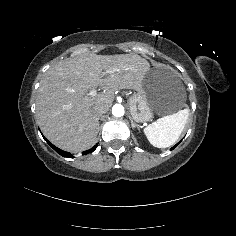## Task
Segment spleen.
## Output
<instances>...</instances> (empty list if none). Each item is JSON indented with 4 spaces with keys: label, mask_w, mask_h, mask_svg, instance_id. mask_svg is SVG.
I'll use <instances>...</instances> for the list:
<instances>
[{
    "label": "spleen",
    "mask_w": 236,
    "mask_h": 236,
    "mask_svg": "<svg viewBox=\"0 0 236 236\" xmlns=\"http://www.w3.org/2000/svg\"><path fill=\"white\" fill-rule=\"evenodd\" d=\"M189 108H184L175 114L158 119L146 127L145 132L151 143L157 148H168L174 145L188 123Z\"/></svg>",
    "instance_id": "obj_1"
}]
</instances>
